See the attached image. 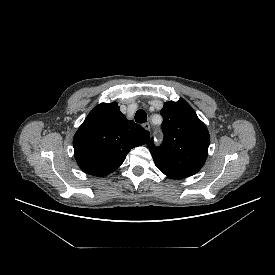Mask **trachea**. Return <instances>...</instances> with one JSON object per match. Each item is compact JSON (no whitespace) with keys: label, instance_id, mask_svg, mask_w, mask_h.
Here are the masks:
<instances>
[{"label":"trachea","instance_id":"1","mask_svg":"<svg viewBox=\"0 0 275 275\" xmlns=\"http://www.w3.org/2000/svg\"><path fill=\"white\" fill-rule=\"evenodd\" d=\"M135 121L137 123H145L147 121V114L144 110L140 109L135 114Z\"/></svg>","mask_w":275,"mask_h":275}]
</instances>
